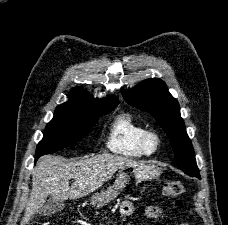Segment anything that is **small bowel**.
I'll list each match as a JSON object with an SVG mask.
<instances>
[{"label": "small bowel", "instance_id": "obj_1", "mask_svg": "<svg viewBox=\"0 0 228 225\" xmlns=\"http://www.w3.org/2000/svg\"><path fill=\"white\" fill-rule=\"evenodd\" d=\"M135 212L134 204L126 200L121 205V213L124 217L128 218L132 216ZM164 212L161 208L156 206H148L145 208V216L150 219H158L163 216ZM174 225H184L178 222H175Z\"/></svg>", "mask_w": 228, "mask_h": 225}]
</instances>
